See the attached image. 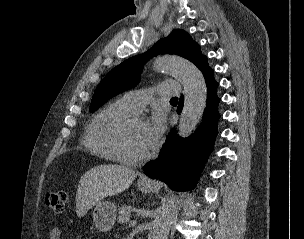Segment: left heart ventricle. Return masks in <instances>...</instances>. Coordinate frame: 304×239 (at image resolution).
I'll list each match as a JSON object with an SVG mask.
<instances>
[{
  "instance_id": "obj_1",
  "label": "left heart ventricle",
  "mask_w": 304,
  "mask_h": 239,
  "mask_svg": "<svg viewBox=\"0 0 304 239\" xmlns=\"http://www.w3.org/2000/svg\"><path fill=\"white\" fill-rule=\"evenodd\" d=\"M144 122L133 121L124 137V150L128 155L140 156L149 152L143 135Z\"/></svg>"
}]
</instances>
